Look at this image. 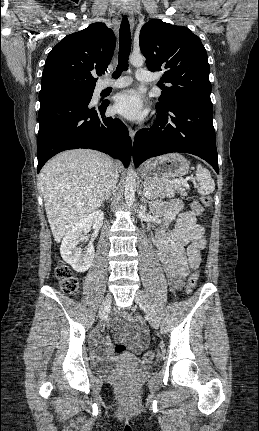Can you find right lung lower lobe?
<instances>
[{"mask_svg": "<svg viewBox=\"0 0 259 431\" xmlns=\"http://www.w3.org/2000/svg\"><path fill=\"white\" fill-rule=\"evenodd\" d=\"M91 97L60 96L40 103L38 172L57 153L90 148L130 163L132 141L116 117H105L109 101L92 107Z\"/></svg>", "mask_w": 259, "mask_h": 431, "instance_id": "1", "label": "right lung lower lobe"}]
</instances>
